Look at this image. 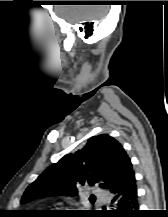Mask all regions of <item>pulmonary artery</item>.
Returning a JSON list of instances; mask_svg holds the SVG:
<instances>
[{
  "instance_id": "e3ab8cb5",
  "label": "pulmonary artery",
  "mask_w": 168,
  "mask_h": 217,
  "mask_svg": "<svg viewBox=\"0 0 168 217\" xmlns=\"http://www.w3.org/2000/svg\"><path fill=\"white\" fill-rule=\"evenodd\" d=\"M93 194H94L96 197H98V198H100V199H102V200H104V201H106V200L108 199L107 194H106L105 192L101 191V190L94 189V190H93Z\"/></svg>"
}]
</instances>
